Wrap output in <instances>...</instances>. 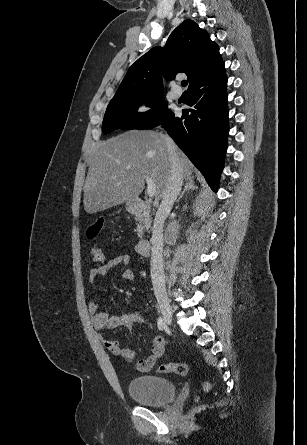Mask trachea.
<instances>
[{
  "instance_id": "3493384b",
  "label": "trachea",
  "mask_w": 307,
  "mask_h": 445,
  "mask_svg": "<svg viewBox=\"0 0 307 445\" xmlns=\"http://www.w3.org/2000/svg\"><path fill=\"white\" fill-rule=\"evenodd\" d=\"M181 85H182V87H186L187 86V80H182Z\"/></svg>"
}]
</instances>
